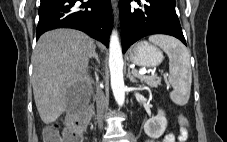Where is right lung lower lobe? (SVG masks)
<instances>
[{
	"label": "right lung lower lobe",
	"instance_id": "1",
	"mask_svg": "<svg viewBox=\"0 0 227 142\" xmlns=\"http://www.w3.org/2000/svg\"><path fill=\"white\" fill-rule=\"evenodd\" d=\"M41 0L36 37L56 28L81 30L108 47L112 29L110 0Z\"/></svg>",
	"mask_w": 227,
	"mask_h": 142
}]
</instances>
